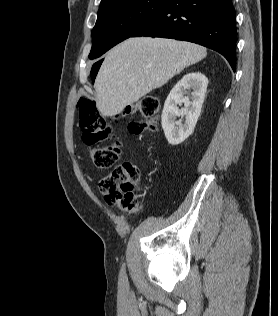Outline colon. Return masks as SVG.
I'll return each mask as SVG.
<instances>
[{"instance_id":"obj_1","label":"colon","mask_w":278,"mask_h":316,"mask_svg":"<svg viewBox=\"0 0 278 316\" xmlns=\"http://www.w3.org/2000/svg\"><path fill=\"white\" fill-rule=\"evenodd\" d=\"M159 110L160 101L157 97H144L128 112V115L141 117V120H133L129 123L130 132L138 135L146 130H154ZM79 127L84 143L93 146L91 157L94 165L100 169H110L99 184L100 192L106 202L123 211H138L139 171L130 163L117 164L121 156L120 142L99 145L103 141L114 139V127L98 112L95 103L89 99H83L79 103Z\"/></svg>"}]
</instances>
